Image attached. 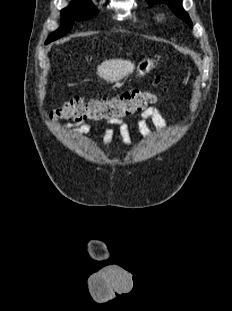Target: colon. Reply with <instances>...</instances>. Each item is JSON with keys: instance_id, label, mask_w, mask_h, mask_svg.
<instances>
[{"instance_id": "1", "label": "colon", "mask_w": 232, "mask_h": 311, "mask_svg": "<svg viewBox=\"0 0 232 311\" xmlns=\"http://www.w3.org/2000/svg\"><path fill=\"white\" fill-rule=\"evenodd\" d=\"M165 91L166 87L162 84V79L157 77L151 89H134L113 98L88 101L73 97L53 110L51 117L74 122L118 121L144 111Z\"/></svg>"}]
</instances>
